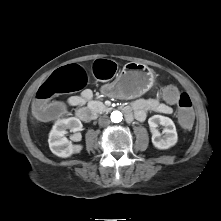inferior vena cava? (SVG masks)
<instances>
[{"mask_svg": "<svg viewBox=\"0 0 221 221\" xmlns=\"http://www.w3.org/2000/svg\"><path fill=\"white\" fill-rule=\"evenodd\" d=\"M98 123L100 126L105 127L108 126L110 124V119L108 116L103 115L98 119Z\"/></svg>", "mask_w": 221, "mask_h": 221, "instance_id": "602c4592", "label": "inferior vena cava"}]
</instances>
